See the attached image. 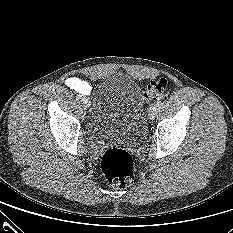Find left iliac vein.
<instances>
[{"mask_svg": "<svg viewBox=\"0 0 233 233\" xmlns=\"http://www.w3.org/2000/svg\"><path fill=\"white\" fill-rule=\"evenodd\" d=\"M158 106L155 104V105H152L150 108H149V112H148V116L150 119H154L155 116L157 115V112H158Z\"/></svg>", "mask_w": 233, "mask_h": 233, "instance_id": "obj_1", "label": "left iliac vein"}]
</instances>
